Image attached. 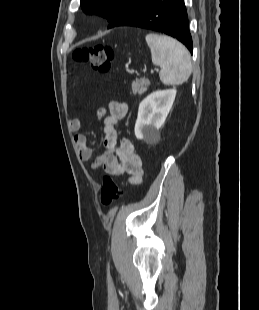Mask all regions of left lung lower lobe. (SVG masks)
Masks as SVG:
<instances>
[{"instance_id": "0a47b994", "label": "left lung lower lobe", "mask_w": 259, "mask_h": 310, "mask_svg": "<svg viewBox=\"0 0 259 310\" xmlns=\"http://www.w3.org/2000/svg\"><path fill=\"white\" fill-rule=\"evenodd\" d=\"M135 26L168 34L192 53V38L184 0H149L130 10L113 27Z\"/></svg>"}]
</instances>
